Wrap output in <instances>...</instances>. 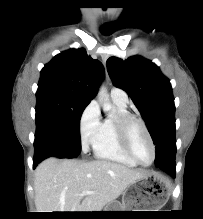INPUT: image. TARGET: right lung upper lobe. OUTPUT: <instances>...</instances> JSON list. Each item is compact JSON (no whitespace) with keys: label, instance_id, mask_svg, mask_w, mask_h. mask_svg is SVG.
<instances>
[{"label":"right lung upper lobe","instance_id":"obj_1","mask_svg":"<svg viewBox=\"0 0 203 219\" xmlns=\"http://www.w3.org/2000/svg\"><path fill=\"white\" fill-rule=\"evenodd\" d=\"M103 75L101 62L88 56L84 49H71L56 55L45 65L38 89L58 90L91 101Z\"/></svg>","mask_w":203,"mask_h":219}]
</instances>
